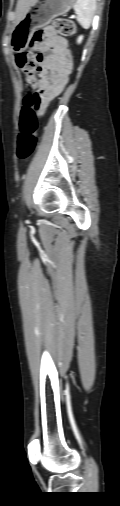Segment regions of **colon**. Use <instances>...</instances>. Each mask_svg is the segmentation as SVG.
Returning <instances> with one entry per match:
<instances>
[{"label":"colon","mask_w":120,"mask_h":506,"mask_svg":"<svg viewBox=\"0 0 120 506\" xmlns=\"http://www.w3.org/2000/svg\"><path fill=\"white\" fill-rule=\"evenodd\" d=\"M49 28L65 37L74 35L76 31L74 23L70 19L62 17L53 19ZM44 35L45 31L37 30L32 36L30 49L16 55V64L25 73L26 90L24 105L21 109L16 150L17 158L20 160H27L34 153L38 142L36 112L41 106L42 96L37 87L42 75L37 71L36 53L42 48Z\"/></svg>","instance_id":"colon-1"}]
</instances>
